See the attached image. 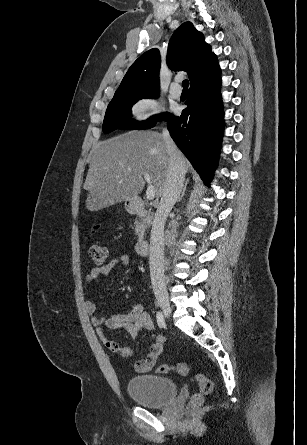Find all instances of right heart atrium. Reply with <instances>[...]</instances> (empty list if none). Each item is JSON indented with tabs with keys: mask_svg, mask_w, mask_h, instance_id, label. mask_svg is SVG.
Listing matches in <instances>:
<instances>
[{
	"mask_svg": "<svg viewBox=\"0 0 307 445\" xmlns=\"http://www.w3.org/2000/svg\"><path fill=\"white\" fill-rule=\"evenodd\" d=\"M161 111V100L156 95H148L139 100L135 119L140 123L151 122L159 116Z\"/></svg>",
	"mask_w": 307,
	"mask_h": 445,
	"instance_id": "1",
	"label": "right heart atrium"
}]
</instances>
